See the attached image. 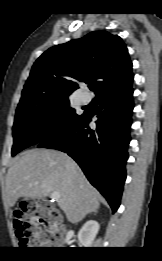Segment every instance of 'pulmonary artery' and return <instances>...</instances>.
<instances>
[{"label":"pulmonary artery","mask_w":162,"mask_h":261,"mask_svg":"<svg viewBox=\"0 0 162 261\" xmlns=\"http://www.w3.org/2000/svg\"><path fill=\"white\" fill-rule=\"evenodd\" d=\"M91 99H92V96L89 92H83L81 94V100L83 103L87 104L91 101Z\"/></svg>","instance_id":"e3ab8cb5"}]
</instances>
